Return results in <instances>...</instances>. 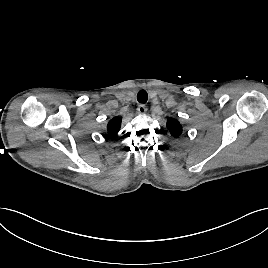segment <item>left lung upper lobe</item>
Segmentation results:
<instances>
[{
  "instance_id": "1",
  "label": "left lung upper lobe",
  "mask_w": 268,
  "mask_h": 268,
  "mask_svg": "<svg viewBox=\"0 0 268 268\" xmlns=\"http://www.w3.org/2000/svg\"><path fill=\"white\" fill-rule=\"evenodd\" d=\"M166 126L173 137L177 138L182 134V126L177 119L168 118Z\"/></svg>"
}]
</instances>
